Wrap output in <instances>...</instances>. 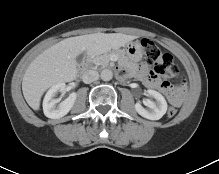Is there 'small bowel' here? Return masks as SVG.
<instances>
[{
  "label": "small bowel",
  "instance_id": "1",
  "mask_svg": "<svg viewBox=\"0 0 219 174\" xmlns=\"http://www.w3.org/2000/svg\"><path fill=\"white\" fill-rule=\"evenodd\" d=\"M137 76L150 88L163 92L173 108H180L185 99V90L182 87H171L167 83L160 81L155 75L150 73L146 66H141Z\"/></svg>",
  "mask_w": 219,
  "mask_h": 174
}]
</instances>
